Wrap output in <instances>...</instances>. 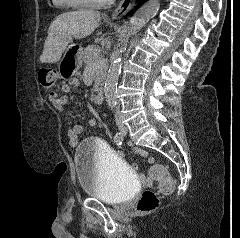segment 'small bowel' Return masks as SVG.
Instances as JSON below:
<instances>
[{
  "mask_svg": "<svg viewBox=\"0 0 240 238\" xmlns=\"http://www.w3.org/2000/svg\"><path fill=\"white\" fill-rule=\"evenodd\" d=\"M79 82L77 79H72L69 84H64L59 92H52L50 94V102L52 105L59 111H64L66 106L68 105V97L65 95L68 93L72 88H78ZM90 124H94L93 120L89 121ZM83 132V127L79 124L74 125L73 127L67 130V137L69 140V144L72 147H76L79 144V136ZM132 150L134 153L140 155L141 157L146 158L148 164H153V158L149 157L147 152L143 149L139 148V143H132ZM118 154H125V149H118ZM131 169H137V164H131ZM140 175L144 174L143 170L139 171ZM144 187H155V182H150V179H143Z\"/></svg>",
  "mask_w": 240,
  "mask_h": 238,
  "instance_id": "1",
  "label": "small bowel"
}]
</instances>
